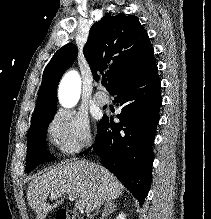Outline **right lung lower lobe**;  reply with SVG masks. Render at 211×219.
I'll return each mask as SVG.
<instances>
[{
    "label": "right lung lower lobe",
    "instance_id": "1",
    "mask_svg": "<svg viewBox=\"0 0 211 219\" xmlns=\"http://www.w3.org/2000/svg\"><path fill=\"white\" fill-rule=\"evenodd\" d=\"M160 88L155 59L120 81L110 92L115 96L116 106L122 110L117 115L120 123L112 124V117L109 120L104 115L97 126L93 145L103 165L140 205L144 203L152 180V145L162 104Z\"/></svg>",
    "mask_w": 211,
    "mask_h": 219
}]
</instances>
